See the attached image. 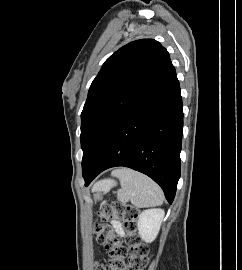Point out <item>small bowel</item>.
I'll return each instance as SVG.
<instances>
[{
    "label": "small bowel",
    "instance_id": "small-bowel-1",
    "mask_svg": "<svg viewBox=\"0 0 242 270\" xmlns=\"http://www.w3.org/2000/svg\"><path fill=\"white\" fill-rule=\"evenodd\" d=\"M113 227L115 229V231L119 234L122 235L123 234V227L121 225L120 222L118 221H113Z\"/></svg>",
    "mask_w": 242,
    "mask_h": 270
}]
</instances>
